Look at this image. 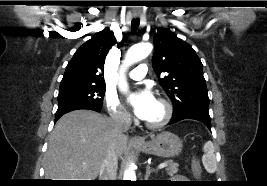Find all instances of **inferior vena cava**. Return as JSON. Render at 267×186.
Here are the masks:
<instances>
[{
    "label": "inferior vena cava",
    "instance_id": "602c4592",
    "mask_svg": "<svg viewBox=\"0 0 267 186\" xmlns=\"http://www.w3.org/2000/svg\"><path fill=\"white\" fill-rule=\"evenodd\" d=\"M130 120L124 113L114 115L110 119L111 142L108 145L106 155L102 161L99 180H116L118 169V157L115 151V138L124 135L130 128Z\"/></svg>",
    "mask_w": 267,
    "mask_h": 186
}]
</instances>
